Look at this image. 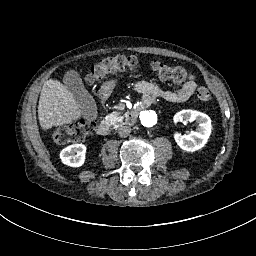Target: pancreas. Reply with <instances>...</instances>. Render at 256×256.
I'll return each instance as SVG.
<instances>
[{"mask_svg":"<svg viewBox=\"0 0 256 256\" xmlns=\"http://www.w3.org/2000/svg\"><path fill=\"white\" fill-rule=\"evenodd\" d=\"M125 108L124 104H119L116 107V111L111 112L108 114V121L113 125V126H118L122 124L126 125H133L136 121V115H133L132 113H125L123 109Z\"/></svg>","mask_w":256,"mask_h":256,"instance_id":"1","label":"pancreas"}]
</instances>
